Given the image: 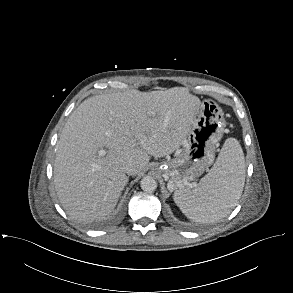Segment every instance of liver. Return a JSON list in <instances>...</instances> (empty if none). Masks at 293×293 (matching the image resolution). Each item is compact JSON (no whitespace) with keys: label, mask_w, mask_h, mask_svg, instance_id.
<instances>
[{"label":"liver","mask_w":293,"mask_h":293,"mask_svg":"<svg viewBox=\"0 0 293 293\" xmlns=\"http://www.w3.org/2000/svg\"><path fill=\"white\" fill-rule=\"evenodd\" d=\"M201 106L187 88L131 90L90 97L67 120L56 145L54 184L74 220H102L114 210L129 178L150 156L164 157L181 146ZM106 153L100 155V150Z\"/></svg>","instance_id":"6515ba94"}]
</instances>
